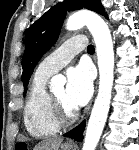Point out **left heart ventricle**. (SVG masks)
<instances>
[{"label":"left heart ventricle","instance_id":"left-heart-ventricle-1","mask_svg":"<svg viewBox=\"0 0 139 150\" xmlns=\"http://www.w3.org/2000/svg\"><path fill=\"white\" fill-rule=\"evenodd\" d=\"M53 97L60 103V105L63 107V109L70 113L74 111L75 109L69 105L66 99V88L65 87H59L56 88L51 92Z\"/></svg>","mask_w":139,"mask_h":150}]
</instances>
